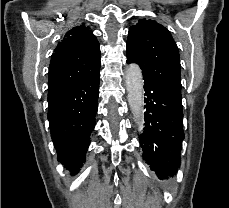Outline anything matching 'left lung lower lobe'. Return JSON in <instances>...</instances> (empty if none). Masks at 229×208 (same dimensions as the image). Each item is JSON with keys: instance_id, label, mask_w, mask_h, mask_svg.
Masks as SVG:
<instances>
[{"instance_id": "left-lung-lower-lobe-1", "label": "left lung lower lobe", "mask_w": 229, "mask_h": 208, "mask_svg": "<svg viewBox=\"0 0 229 208\" xmlns=\"http://www.w3.org/2000/svg\"><path fill=\"white\" fill-rule=\"evenodd\" d=\"M144 91L145 128L140 140L143 157L159 179H169L180 167L185 137L182 102L147 81Z\"/></svg>"}]
</instances>
